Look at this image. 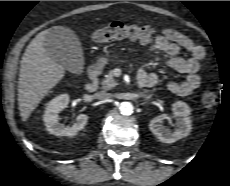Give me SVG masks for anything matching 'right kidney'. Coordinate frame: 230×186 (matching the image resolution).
Listing matches in <instances>:
<instances>
[{
	"label": "right kidney",
	"instance_id": "right-kidney-1",
	"mask_svg": "<svg viewBox=\"0 0 230 186\" xmlns=\"http://www.w3.org/2000/svg\"><path fill=\"white\" fill-rule=\"evenodd\" d=\"M69 104V95L61 94L52 99L46 106L43 121L49 133L56 136H75L78 131L82 130L88 120L86 114H79L76 122L71 127H65L59 122V112L65 109Z\"/></svg>",
	"mask_w": 230,
	"mask_h": 186
}]
</instances>
